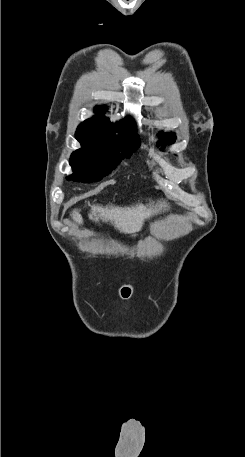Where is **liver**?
<instances>
[{
    "mask_svg": "<svg viewBox=\"0 0 245 457\" xmlns=\"http://www.w3.org/2000/svg\"><path fill=\"white\" fill-rule=\"evenodd\" d=\"M162 206H166L165 202L161 204H135V206H98V204H92L89 212V218L91 220H111L112 224L119 229L120 233H137L141 231L144 224L145 218H150L152 214L160 212ZM73 220L77 224H82L83 218L79 214L78 208L72 210L71 214Z\"/></svg>",
    "mask_w": 245,
    "mask_h": 457,
    "instance_id": "liver-1",
    "label": "liver"
}]
</instances>
